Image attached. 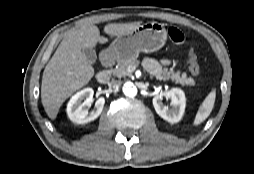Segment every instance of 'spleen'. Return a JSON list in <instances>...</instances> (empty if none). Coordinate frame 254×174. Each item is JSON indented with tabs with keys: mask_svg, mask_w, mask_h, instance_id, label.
<instances>
[{
	"mask_svg": "<svg viewBox=\"0 0 254 174\" xmlns=\"http://www.w3.org/2000/svg\"><path fill=\"white\" fill-rule=\"evenodd\" d=\"M215 98H216V91L213 89L207 97L204 99L202 104L200 105L195 120H194V125H199L202 122L206 120V118L210 115L214 103H215Z\"/></svg>",
	"mask_w": 254,
	"mask_h": 174,
	"instance_id": "1",
	"label": "spleen"
}]
</instances>
